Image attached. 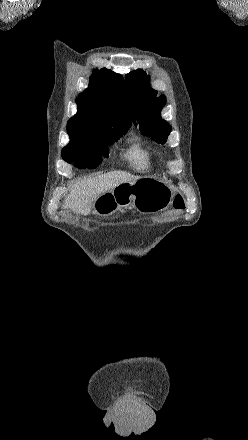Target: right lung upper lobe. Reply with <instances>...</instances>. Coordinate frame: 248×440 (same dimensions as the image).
Masks as SVG:
<instances>
[{"label":"right lung upper lobe","instance_id":"cb5924a9","mask_svg":"<svg viewBox=\"0 0 248 440\" xmlns=\"http://www.w3.org/2000/svg\"><path fill=\"white\" fill-rule=\"evenodd\" d=\"M78 112L67 124L70 142L76 146L92 135L128 130L132 113L124 79L106 68L94 70L89 87L76 99Z\"/></svg>","mask_w":248,"mask_h":440}]
</instances>
